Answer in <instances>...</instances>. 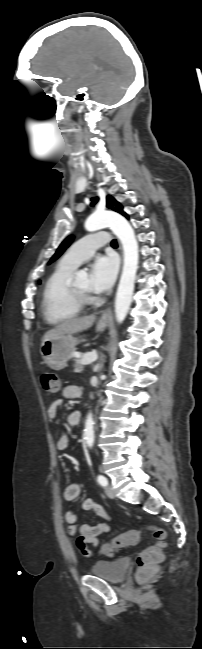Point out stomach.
<instances>
[{"label": "stomach", "mask_w": 202, "mask_h": 649, "mask_svg": "<svg viewBox=\"0 0 202 649\" xmlns=\"http://www.w3.org/2000/svg\"><path fill=\"white\" fill-rule=\"evenodd\" d=\"M107 322V318L101 317L97 323V331H103ZM78 343V338L74 337L73 333H68L56 339L42 342L40 354L47 366L53 370H61L66 367L67 361L71 358Z\"/></svg>", "instance_id": "obj_1"}]
</instances>
